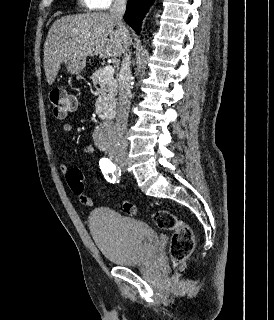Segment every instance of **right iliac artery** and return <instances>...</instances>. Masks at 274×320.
<instances>
[{
  "mask_svg": "<svg viewBox=\"0 0 274 320\" xmlns=\"http://www.w3.org/2000/svg\"><path fill=\"white\" fill-rule=\"evenodd\" d=\"M100 168L103 173L107 175V180L109 182H116L121 175V170L115 166V164L107 158H103L100 160Z\"/></svg>",
  "mask_w": 274,
  "mask_h": 320,
  "instance_id": "82829eb1",
  "label": "right iliac artery"
}]
</instances>
